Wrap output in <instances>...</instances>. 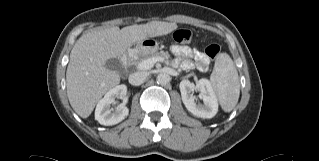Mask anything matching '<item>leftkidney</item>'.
<instances>
[{"instance_id":"left-kidney-1","label":"left kidney","mask_w":319,"mask_h":161,"mask_svg":"<svg viewBox=\"0 0 319 161\" xmlns=\"http://www.w3.org/2000/svg\"><path fill=\"white\" fill-rule=\"evenodd\" d=\"M180 92L182 101L189 112L200 118H212L218 111V102L211 86L207 79H200L197 84L189 80H182L180 82ZM200 91L203 104L195 102L193 92Z\"/></svg>"}]
</instances>
